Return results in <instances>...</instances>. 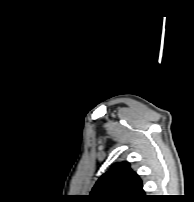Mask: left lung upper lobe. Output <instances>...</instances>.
Masks as SVG:
<instances>
[{"mask_svg":"<svg viewBox=\"0 0 194 202\" xmlns=\"http://www.w3.org/2000/svg\"><path fill=\"white\" fill-rule=\"evenodd\" d=\"M94 202H139L146 198L139 176L128 162L116 163L93 187Z\"/></svg>","mask_w":194,"mask_h":202,"instance_id":"left-lung-upper-lobe-1","label":"left lung upper lobe"}]
</instances>
